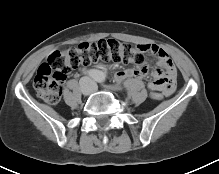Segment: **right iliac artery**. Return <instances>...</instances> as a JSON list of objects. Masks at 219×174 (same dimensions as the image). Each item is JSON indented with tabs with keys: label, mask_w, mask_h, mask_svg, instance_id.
Returning a JSON list of instances; mask_svg holds the SVG:
<instances>
[{
	"label": "right iliac artery",
	"mask_w": 219,
	"mask_h": 174,
	"mask_svg": "<svg viewBox=\"0 0 219 174\" xmlns=\"http://www.w3.org/2000/svg\"><path fill=\"white\" fill-rule=\"evenodd\" d=\"M88 75L93 77V78H96L98 75V72L96 70H89Z\"/></svg>",
	"instance_id": "obj_1"
}]
</instances>
